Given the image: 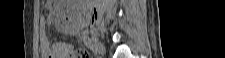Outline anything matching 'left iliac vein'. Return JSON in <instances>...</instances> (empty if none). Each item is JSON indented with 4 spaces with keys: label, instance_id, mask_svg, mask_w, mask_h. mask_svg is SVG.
Masks as SVG:
<instances>
[{
    "label": "left iliac vein",
    "instance_id": "obj_1",
    "mask_svg": "<svg viewBox=\"0 0 225 58\" xmlns=\"http://www.w3.org/2000/svg\"><path fill=\"white\" fill-rule=\"evenodd\" d=\"M92 46L95 52H97L99 55L105 54V46L101 42H94Z\"/></svg>",
    "mask_w": 225,
    "mask_h": 58
}]
</instances>
